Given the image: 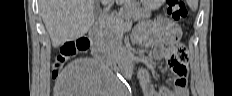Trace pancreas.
Segmentation results:
<instances>
[{
  "mask_svg": "<svg viewBox=\"0 0 232 96\" xmlns=\"http://www.w3.org/2000/svg\"><path fill=\"white\" fill-rule=\"evenodd\" d=\"M150 15V10L133 5L120 9L116 14L104 16L96 45L105 51L115 52L118 45V35L122 31L124 20L139 21L150 17Z\"/></svg>",
  "mask_w": 232,
  "mask_h": 96,
  "instance_id": "1",
  "label": "pancreas"
}]
</instances>
